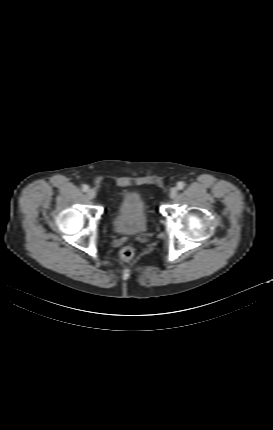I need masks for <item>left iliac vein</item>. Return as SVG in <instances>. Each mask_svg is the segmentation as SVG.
Here are the masks:
<instances>
[{"label": "left iliac vein", "instance_id": "4c4485c4", "mask_svg": "<svg viewBox=\"0 0 273 430\" xmlns=\"http://www.w3.org/2000/svg\"><path fill=\"white\" fill-rule=\"evenodd\" d=\"M176 195H177V188H175V187L171 188L170 193H169L170 198L174 199L176 197Z\"/></svg>", "mask_w": 273, "mask_h": 430}]
</instances>
